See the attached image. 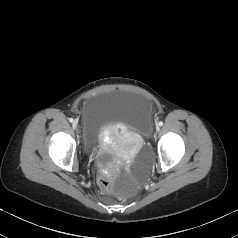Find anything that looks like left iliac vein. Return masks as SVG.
Listing matches in <instances>:
<instances>
[{"instance_id":"1","label":"left iliac vein","mask_w":238,"mask_h":238,"mask_svg":"<svg viewBox=\"0 0 238 238\" xmlns=\"http://www.w3.org/2000/svg\"><path fill=\"white\" fill-rule=\"evenodd\" d=\"M156 130L159 131L160 130V127L159 125L156 126Z\"/></svg>"}]
</instances>
